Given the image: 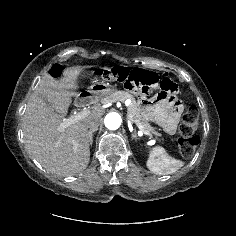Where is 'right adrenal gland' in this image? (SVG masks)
<instances>
[{
	"label": "right adrenal gland",
	"instance_id": "1",
	"mask_svg": "<svg viewBox=\"0 0 236 236\" xmlns=\"http://www.w3.org/2000/svg\"><path fill=\"white\" fill-rule=\"evenodd\" d=\"M96 131H97V130L94 129V130H90V131L88 132L89 144H90V145H92V143H93V133L96 132Z\"/></svg>",
	"mask_w": 236,
	"mask_h": 236
}]
</instances>
